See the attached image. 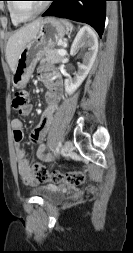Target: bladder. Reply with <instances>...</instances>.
<instances>
[{
	"mask_svg": "<svg viewBox=\"0 0 133 253\" xmlns=\"http://www.w3.org/2000/svg\"><path fill=\"white\" fill-rule=\"evenodd\" d=\"M32 194L42 198L46 202L57 203L63 200L65 194L62 190L52 186H38L32 189Z\"/></svg>",
	"mask_w": 133,
	"mask_h": 253,
	"instance_id": "obj_1",
	"label": "bladder"
}]
</instances>
